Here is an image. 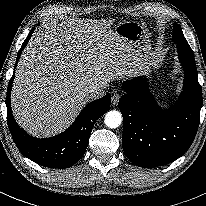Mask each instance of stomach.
<instances>
[{
	"mask_svg": "<svg viewBox=\"0 0 206 206\" xmlns=\"http://www.w3.org/2000/svg\"><path fill=\"white\" fill-rule=\"evenodd\" d=\"M114 32L130 44L142 71H147L153 63L154 53L144 26L136 21H122Z\"/></svg>",
	"mask_w": 206,
	"mask_h": 206,
	"instance_id": "0dacf381",
	"label": "stomach"
}]
</instances>
